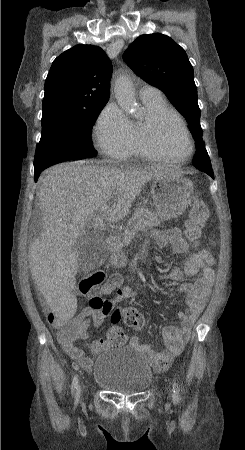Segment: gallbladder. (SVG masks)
Returning a JSON list of instances; mask_svg holds the SVG:
<instances>
[{"label": "gallbladder", "mask_w": 245, "mask_h": 450, "mask_svg": "<svg viewBox=\"0 0 245 450\" xmlns=\"http://www.w3.org/2000/svg\"><path fill=\"white\" fill-rule=\"evenodd\" d=\"M74 249L78 252V264L81 270L101 264L107 255L106 245L89 233L77 239Z\"/></svg>", "instance_id": "gallbladder-1"}]
</instances>
